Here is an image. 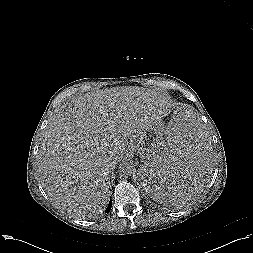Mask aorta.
Here are the masks:
<instances>
[{"instance_id": "aorta-1", "label": "aorta", "mask_w": 253, "mask_h": 253, "mask_svg": "<svg viewBox=\"0 0 253 253\" xmlns=\"http://www.w3.org/2000/svg\"><path fill=\"white\" fill-rule=\"evenodd\" d=\"M135 171L134 164L129 161H123L119 164L118 172L121 177H129Z\"/></svg>"}]
</instances>
